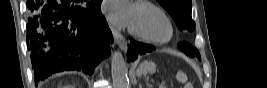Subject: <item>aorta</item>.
<instances>
[{
  "instance_id": "762f6f07",
  "label": "aorta",
  "mask_w": 267,
  "mask_h": 88,
  "mask_svg": "<svg viewBox=\"0 0 267 88\" xmlns=\"http://www.w3.org/2000/svg\"><path fill=\"white\" fill-rule=\"evenodd\" d=\"M111 74L114 88H128V68L119 51H114L111 57Z\"/></svg>"
}]
</instances>
